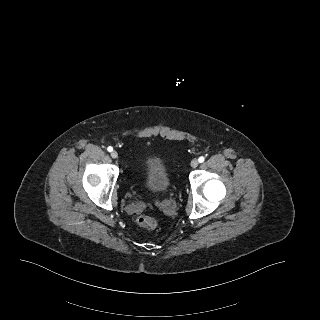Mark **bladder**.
I'll return each instance as SVG.
<instances>
[{
  "mask_svg": "<svg viewBox=\"0 0 320 320\" xmlns=\"http://www.w3.org/2000/svg\"><path fill=\"white\" fill-rule=\"evenodd\" d=\"M143 188L155 194H162L171 186L170 176L164 161L152 154L142 156Z\"/></svg>",
  "mask_w": 320,
  "mask_h": 320,
  "instance_id": "obj_1",
  "label": "bladder"
}]
</instances>
